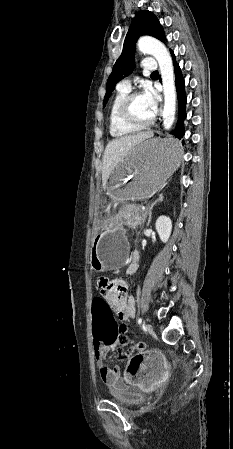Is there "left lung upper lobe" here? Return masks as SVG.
<instances>
[{"instance_id": "1", "label": "left lung upper lobe", "mask_w": 233, "mask_h": 449, "mask_svg": "<svg viewBox=\"0 0 233 449\" xmlns=\"http://www.w3.org/2000/svg\"><path fill=\"white\" fill-rule=\"evenodd\" d=\"M142 35L153 36L160 41H164L165 38L163 28L157 17L147 10L139 11L131 22L124 41L123 51L113 66V71L107 81L103 101L104 107L115 88V84L132 72L136 41Z\"/></svg>"}]
</instances>
